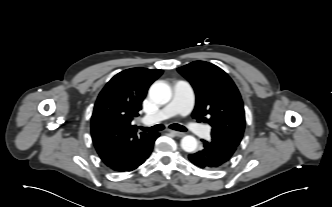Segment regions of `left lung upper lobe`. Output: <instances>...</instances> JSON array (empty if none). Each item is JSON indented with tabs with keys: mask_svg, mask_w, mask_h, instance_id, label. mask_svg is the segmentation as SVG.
I'll list each match as a JSON object with an SVG mask.
<instances>
[{
	"mask_svg": "<svg viewBox=\"0 0 332 207\" xmlns=\"http://www.w3.org/2000/svg\"><path fill=\"white\" fill-rule=\"evenodd\" d=\"M177 70L194 88L193 118L209 122L212 138L237 147L245 128V115L240 93L232 79L222 69L205 61H194Z\"/></svg>",
	"mask_w": 332,
	"mask_h": 207,
	"instance_id": "obj_1",
	"label": "left lung upper lobe"
}]
</instances>
